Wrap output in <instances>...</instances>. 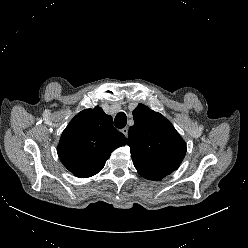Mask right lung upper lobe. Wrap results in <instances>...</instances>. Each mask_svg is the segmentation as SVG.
Instances as JSON below:
<instances>
[{"label":"right lung upper lobe","mask_w":248,"mask_h":248,"mask_svg":"<svg viewBox=\"0 0 248 248\" xmlns=\"http://www.w3.org/2000/svg\"><path fill=\"white\" fill-rule=\"evenodd\" d=\"M127 143L125 136L113 127L112 117L102 108L85 109L78 113L63 131L58 156L76 177L97 174L111 152Z\"/></svg>","instance_id":"right-lung-upper-lobe-1"}]
</instances>
